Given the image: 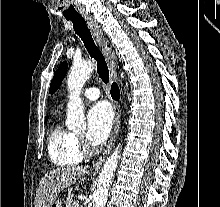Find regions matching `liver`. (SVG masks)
<instances>
[{
	"label": "liver",
	"mask_w": 220,
	"mask_h": 207,
	"mask_svg": "<svg viewBox=\"0 0 220 207\" xmlns=\"http://www.w3.org/2000/svg\"><path fill=\"white\" fill-rule=\"evenodd\" d=\"M87 173V166L62 167L50 170L41 179L35 207H50L57 195Z\"/></svg>",
	"instance_id": "6515ba94"
}]
</instances>
